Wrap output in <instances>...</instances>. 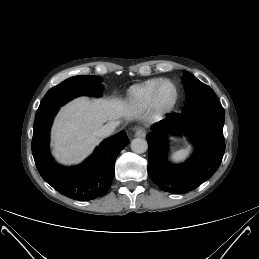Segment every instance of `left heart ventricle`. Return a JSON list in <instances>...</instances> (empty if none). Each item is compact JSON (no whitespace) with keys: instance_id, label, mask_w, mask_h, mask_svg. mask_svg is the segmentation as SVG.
I'll return each instance as SVG.
<instances>
[{"instance_id":"obj_1","label":"left heart ventricle","mask_w":259,"mask_h":259,"mask_svg":"<svg viewBox=\"0 0 259 259\" xmlns=\"http://www.w3.org/2000/svg\"><path fill=\"white\" fill-rule=\"evenodd\" d=\"M173 89L171 86L169 85H165L162 87L161 91H160V100L163 103H168L172 100L173 98Z\"/></svg>"}]
</instances>
